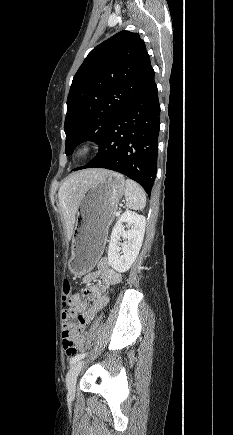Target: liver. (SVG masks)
I'll list each match as a JSON object with an SVG mask.
<instances>
[{"instance_id":"obj_1","label":"liver","mask_w":233,"mask_h":435,"mask_svg":"<svg viewBox=\"0 0 233 435\" xmlns=\"http://www.w3.org/2000/svg\"><path fill=\"white\" fill-rule=\"evenodd\" d=\"M105 169H86L71 174L58 191L59 206L64 216L67 240H70L76 222L79 204L88 189L97 179L107 174Z\"/></svg>"}]
</instances>
